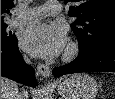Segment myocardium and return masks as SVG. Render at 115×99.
Listing matches in <instances>:
<instances>
[{"label": "myocardium", "instance_id": "1", "mask_svg": "<svg viewBox=\"0 0 115 99\" xmlns=\"http://www.w3.org/2000/svg\"><path fill=\"white\" fill-rule=\"evenodd\" d=\"M79 45L76 42H70L63 54V59L65 61H70L74 59L79 54Z\"/></svg>", "mask_w": 115, "mask_h": 99}]
</instances>
